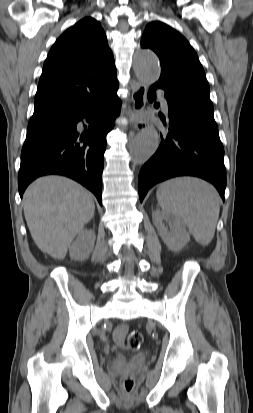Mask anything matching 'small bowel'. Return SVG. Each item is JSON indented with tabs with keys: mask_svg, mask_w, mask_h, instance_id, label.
<instances>
[{
	"mask_svg": "<svg viewBox=\"0 0 253 413\" xmlns=\"http://www.w3.org/2000/svg\"><path fill=\"white\" fill-rule=\"evenodd\" d=\"M127 332H128V326H127V325L117 326V327L115 328L114 332H113V339H114V341H115L118 345L122 346V345L124 344V341H125V337H126Z\"/></svg>",
	"mask_w": 253,
	"mask_h": 413,
	"instance_id": "1",
	"label": "small bowel"
}]
</instances>
